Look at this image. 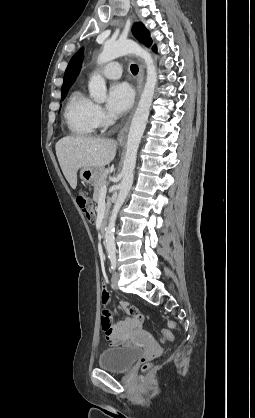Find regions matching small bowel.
Here are the masks:
<instances>
[{
  "label": "small bowel",
  "mask_w": 255,
  "mask_h": 418,
  "mask_svg": "<svg viewBox=\"0 0 255 418\" xmlns=\"http://www.w3.org/2000/svg\"><path fill=\"white\" fill-rule=\"evenodd\" d=\"M101 298L103 304H106L108 293L105 290L102 291ZM122 307L129 318L111 324V315L107 310H104L101 316V326L107 341L117 346H129L136 339L146 337L141 330L143 316L136 308L129 307L126 302L122 303Z\"/></svg>",
  "instance_id": "small-bowel-1"
}]
</instances>
